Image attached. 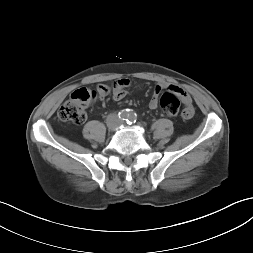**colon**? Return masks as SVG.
I'll return each instance as SVG.
<instances>
[{
  "mask_svg": "<svg viewBox=\"0 0 253 253\" xmlns=\"http://www.w3.org/2000/svg\"><path fill=\"white\" fill-rule=\"evenodd\" d=\"M104 92L97 89L79 88L75 90L58 111L62 122L81 124L86 119V109L94 101L104 97ZM162 112L167 117H175L180 112V98L171 91H166L160 98Z\"/></svg>",
  "mask_w": 253,
  "mask_h": 253,
  "instance_id": "colon-1",
  "label": "colon"
}]
</instances>
